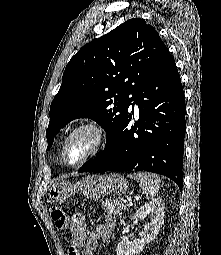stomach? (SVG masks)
<instances>
[{
  "mask_svg": "<svg viewBox=\"0 0 221 255\" xmlns=\"http://www.w3.org/2000/svg\"><path fill=\"white\" fill-rule=\"evenodd\" d=\"M127 190L128 182L120 174L88 175L76 184L69 181L56 182L51 186L48 197L51 203L62 204L78 192L86 198L97 199L107 195H121Z\"/></svg>",
  "mask_w": 221,
  "mask_h": 255,
  "instance_id": "stomach-1",
  "label": "stomach"
}]
</instances>
